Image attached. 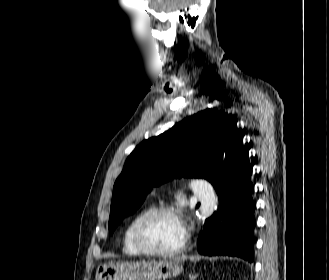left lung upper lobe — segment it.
<instances>
[{
	"label": "left lung upper lobe",
	"instance_id": "obj_1",
	"mask_svg": "<svg viewBox=\"0 0 329 280\" xmlns=\"http://www.w3.org/2000/svg\"><path fill=\"white\" fill-rule=\"evenodd\" d=\"M228 114L206 109L140 143L113 187L109 232L137 211L152 186L174 177H201L217 189L240 167L242 144Z\"/></svg>",
	"mask_w": 329,
	"mask_h": 280
}]
</instances>
